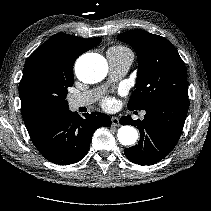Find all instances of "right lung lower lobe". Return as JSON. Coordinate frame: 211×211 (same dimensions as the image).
<instances>
[{"mask_svg": "<svg viewBox=\"0 0 211 211\" xmlns=\"http://www.w3.org/2000/svg\"><path fill=\"white\" fill-rule=\"evenodd\" d=\"M100 126H111L110 117L92 112L82 118L67 108L50 114L28 133L45 159L58 165H68L86 155L92 135Z\"/></svg>", "mask_w": 211, "mask_h": 211, "instance_id": "obj_1", "label": "right lung lower lobe"}]
</instances>
